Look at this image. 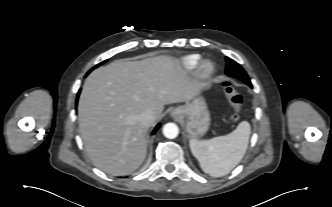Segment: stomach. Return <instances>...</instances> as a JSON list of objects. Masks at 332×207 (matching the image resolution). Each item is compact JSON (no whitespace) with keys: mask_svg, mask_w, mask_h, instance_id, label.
I'll return each instance as SVG.
<instances>
[{"mask_svg":"<svg viewBox=\"0 0 332 207\" xmlns=\"http://www.w3.org/2000/svg\"><path fill=\"white\" fill-rule=\"evenodd\" d=\"M174 111L180 112V119L184 122L185 132L189 138L196 139L207 132L210 114L203 97L198 96Z\"/></svg>","mask_w":332,"mask_h":207,"instance_id":"obj_1","label":"stomach"}]
</instances>
